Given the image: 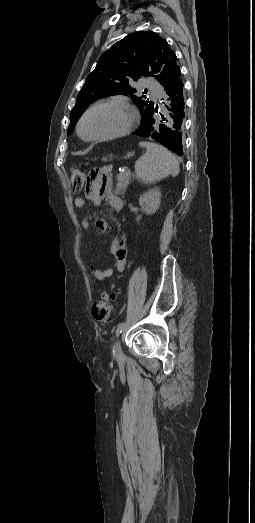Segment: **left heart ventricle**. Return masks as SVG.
<instances>
[{
    "mask_svg": "<svg viewBox=\"0 0 255 523\" xmlns=\"http://www.w3.org/2000/svg\"><path fill=\"white\" fill-rule=\"evenodd\" d=\"M132 113L127 108L102 106L85 117L82 133L86 138H100L122 132L129 125Z\"/></svg>",
    "mask_w": 255,
    "mask_h": 523,
    "instance_id": "left-heart-ventricle-1",
    "label": "left heart ventricle"
}]
</instances>
